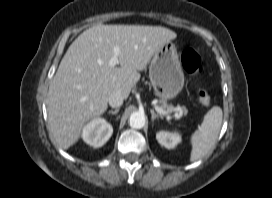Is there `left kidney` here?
Returning a JSON list of instances; mask_svg holds the SVG:
<instances>
[{"label":"left kidney","instance_id":"1","mask_svg":"<svg viewBox=\"0 0 272 198\" xmlns=\"http://www.w3.org/2000/svg\"><path fill=\"white\" fill-rule=\"evenodd\" d=\"M157 141L168 149H173L181 141V137L178 133H170L166 131H160L156 134Z\"/></svg>","mask_w":272,"mask_h":198}]
</instances>
